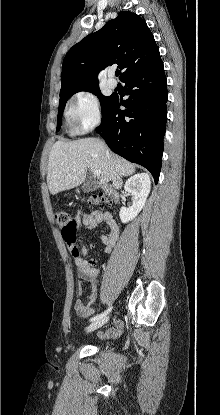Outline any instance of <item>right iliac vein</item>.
Here are the masks:
<instances>
[{"label":"right iliac vein","instance_id":"63e3f726","mask_svg":"<svg viewBox=\"0 0 220 415\" xmlns=\"http://www.w3.org/2000/svg\"><path fill=\"white\" fill-rule=\"evenodd\" d=\"M108 321V317H104L102 319L96 320L93 323H91L87 328L86 332H92L100 327H102L106 322Z\"/></svg>","mask_w":220,"mask_h":415}]
</instances>
